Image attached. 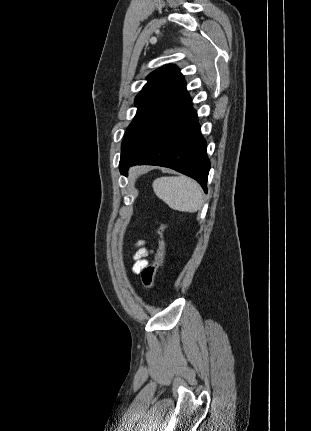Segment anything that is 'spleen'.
Segmentation results:
<instances>
[{
	"label": "spleen",
	"instance_id": "spleen-1",
	"mask_svg": "<svg viewBox=\"0 0 311 431\" xmlns=\"http://www.w3.org/2000/svg\"><path fill=\"white\" fill-rule=\"evenodd\" d=\"M152 188L162 202L178 212H198L203 206L202 190L194 180L186 176H170L157 178Z\"/></svg>",
	"mask_w": 311,
	"mask_h": 431
}]
</instances>
